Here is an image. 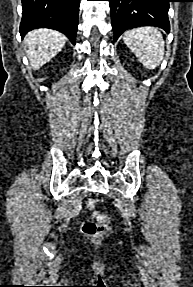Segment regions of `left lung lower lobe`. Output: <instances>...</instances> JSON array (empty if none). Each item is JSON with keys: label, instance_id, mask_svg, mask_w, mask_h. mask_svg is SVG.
<instances>
[{"label": "left lung lower lobe", "instance_id": "obj_1", "mask_svg": "<svg viewBox=\"0 0 193 287\" xmlns=\"http://www.w3.org/2000/svg\"><path fill=\"white\" fill-rule=\"evenodd\" d=\"M110 4L114 41L127 29L156 26L169 32V2L171 0H107Z\"/></svg>", "mask_w": 193, "mask_h": 287}]
</instances>
